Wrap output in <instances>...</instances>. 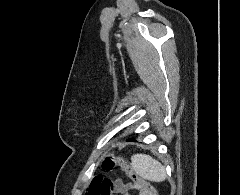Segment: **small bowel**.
<instances>
[{"label":"small bowel","mask_w":240,"mask_h":195,"mask_svg":"<svg viewBox=\"0 0 240 195\" xmlns=\"http://www.w3.org/2000/svg\"><path fill=\"white\" fill-rule=\"evenodd\" d=\"M124 188L125 193H122V195H131V191L133 190L138 191V195H148V193H146V188H150V186H132V182H129L124 183Z\"/></svg>","instance_id":"obj_1"}]
</instances>
